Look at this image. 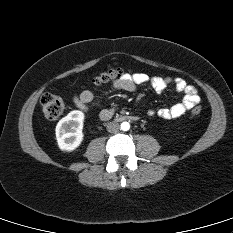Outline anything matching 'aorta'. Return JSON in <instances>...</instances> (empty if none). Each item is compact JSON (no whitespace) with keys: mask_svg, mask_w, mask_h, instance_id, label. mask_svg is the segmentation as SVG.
Returning <instances> with one entry per match:
<instances>
[{"mask_svg":"<svg viewBox=\"0 0 233 233\" xmlns=\"http://www.w3.org/2000/svg\"><path fill=\"white\" fill-rule=\"evenodd\" d=\"M130 129V124L128 122L121 123V130L128 131Z\"/></svg>","mask_w":233,"mask_h":233,"instance_id":"1","label":"aorta"}]
</instances>
